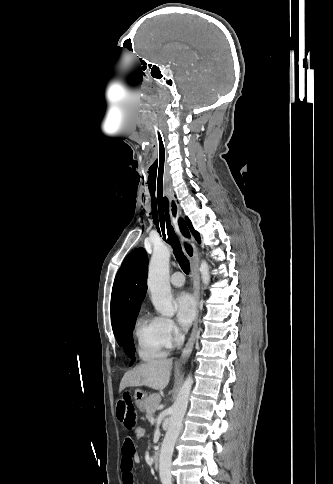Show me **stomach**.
Wrapping results in <instances>:
<instances>
[{"label":"stomach","instance_id":"0dacf381","mask_svg":"<svg viewBox=\"0 0 333 484\" xmlns=\"http://www.w3.org/2000/svg\"><path fill=\"white\" fill-rule=\"evenodd\" d=\"M134 398H135V403H136V406L138 407V409L141 410V411H144L148 395L145 392H143L142 390L137 389L135 391Z\"/></svg>","mask_w":333,"mask_h":484}]
</instances>
